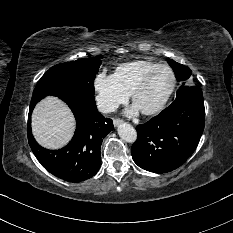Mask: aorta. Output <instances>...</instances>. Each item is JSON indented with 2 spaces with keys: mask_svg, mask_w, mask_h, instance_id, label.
<instances>
[{
  "mask_svg": "<svg viewBox=\"0 0 233 233\" xmlns=\"http://www.w3.org/2000/svg\"><path fill=\"white\" fill-rule=\"evenodd\" d=\"M118 135L120 138L128 143H133L137 139V132L134 127L128 123H121L118 126Z\"/></svg>",
  "mask_w": 233,
  "mask_h": 233,
  "instance_id": "762f6f07",
  "label": "aorta"
}]
</instances>
